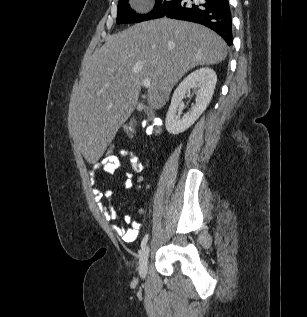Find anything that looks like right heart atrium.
<instances>
[{"instance_id":"right-heart-atrium-1","label":"right heart atrium","mask_w":307,"mask_h":317,"mask_svg":"<svg viewBox=\"0 0 307 317\" xmlns=\"http://www.w3.org/2000/svg\"><path fill=\"white\" fill-rule=\"evenodd\" d=\"M136 1H139V0H136ZM144 10H147V8H144Z\"/></svg>"}]
</instances>
